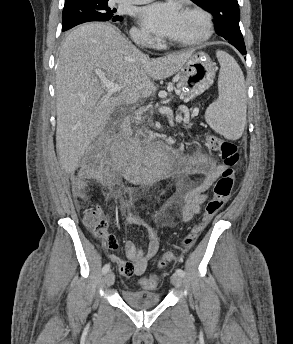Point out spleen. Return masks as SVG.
<instances>
[{
  "label": "spleen",
  "instance_id": "obj_1",
  "mask_svg": "<svg viewBox=\"0 0 293 344\" xmlns=\"http://www.w3.org/2000/svg\"><path fill=\"white\" fill-rule=\"evenodd\" d=\"M220 63L219 97L205 112V120L220 135L239 139L246 124V87L243 72L236 60L224 51H217Z\"/></svg>",
  "mask_w": 293,
  "mask_h": 344
}]
</instances>
